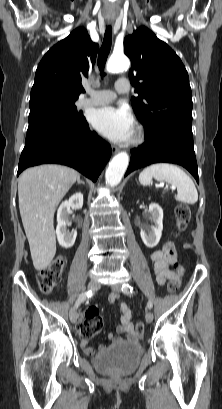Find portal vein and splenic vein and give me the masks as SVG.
I'll use <instances>...</instances> for the list:
<instances>
[{
  "label": "portal vein and splenic vein",
  "instance_id": "1",
  "mask_svg": "<svg viewBox=\"0 0 222 409\" xmlns=\"http://www.w3.org/2000/svg\"><path fill=\"white\" fill-rule=\"evenodd\" d=\"M163 186H164V183H159V184L157 185V187H163ZM171 188H172V190H175V189H176L175 186H172Z\"/></svg>",
  "mask_w": 222,
  "mask_h": 409
}]
</instances>
